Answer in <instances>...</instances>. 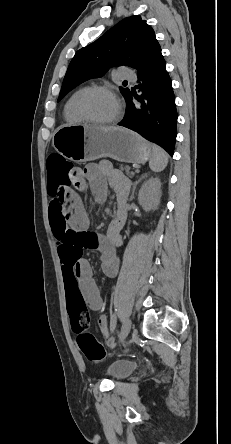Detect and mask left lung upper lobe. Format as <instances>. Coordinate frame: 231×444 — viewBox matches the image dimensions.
<instances>
[{
	"label": "left lung upper lobe",
	"instance_id": "5c2ea615",
	"mask_svg": "<svg viewBox=\"0 0 231 444\" xmlns=\"http://www.w3.org/2000/svg\"><path fill=\"white\" fill-rule=\"evenodd\" d=\"M160 49L154 30L141 16L127 17L95 42L78 50L63 80L60 101L82 82L103 76L110 67L127 65L138 71ZM126 96L129 88H120Z\"/></svg>",
	"mask_w": 231,
	"mask_h": 444
}]
</instances>
